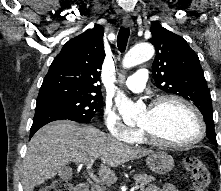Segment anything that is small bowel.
<instances>
[{
  "label": "small bowel",
  "instance_id": "c3829d8e",
  "mask_svg": "<svg viewBox=\"0 0 221 191\" xmlns=\"http://www.w3.org/2000/svg\"><path fill=\"white\" fill-rule=\"evenodd\" d=\"M144 191H178V190L172 184L166 183L162 187H157L155 185H151V186L147 187Z\"/></svg>",
  "mask_w": 221,
  "mask_h": 191
}]
</instances>
